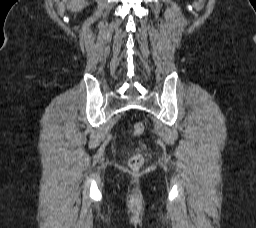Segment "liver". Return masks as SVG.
Here are the masks:
<instances>
[{"instance_id":"1","label":"liver","mask_w":256,"mask_h":228,"mask_svg":"<svg viewBox=\"0 0 256 228\" xmlns=\"http://www.w3.org/2000/svg\"><path fill=\"white\" fill-rule=\"evenodd\" d=\"M67 8L72 12L81 11L86 5V0H66Z\"/></svg>"}]
</instances>
